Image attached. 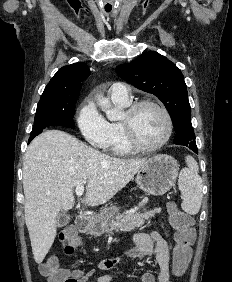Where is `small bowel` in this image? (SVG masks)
Masks as SVG:
<instances>
[{"label": "small bowel", "instance_id": "c3829d8e", "mask_svg": "<svg viewBox=\"0 0 232 282\" xmlns=\"http://www.w3.org/2000/svg\"><path fill=\"white\" fill-rule=\"evenodd\" d=\"M133 242L135 244V248L129 253L132 257H154L159 266V272L157 275L151 272H146L142 276V282H172L169 271L170 251L167 242L163 239L160 233L157 231H152L149 234L136 233L133 236ZM52 257L57 260L56 257ZM118 260L119 257L100 261L97 264V269L99 271L110 270L114 267ZM63 272L65 275L73 277L75 282H88L95 274L94 269L88 271L75 270L72 273L64 269ZM126 272V269H120L114 271L113 273L102 274L96 278V282H112L124 277ZM48 282L53 281L48 278Z\"/></svg>", "mask_w": 232, "mask_h": 282}]
</instances>
